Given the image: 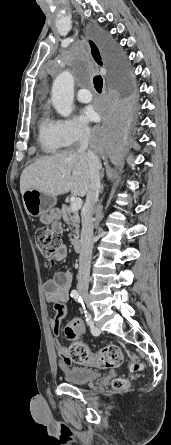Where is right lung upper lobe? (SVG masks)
<instances>
[{"instance_id": "cb5924a9", "label": "right lung upper lobe", "mask_w": 171, "mask_h": 445, "mask_svg": "<svg viewBox=\"0 0 171 445\" xmlns=\"http://www.w3.org/2000/svg\"><path fill=\"white\" fill-rule=\"evenodd\" d=\"M90 46H91V53H92V55H93L95 61H96L98 64L102 65V60H101V59H102V57H103V58L107 61L108 65H109V67H110V69H111L112 76H113V78L115 79V72H114V70L112 69L111 65L109 64V62H108V60H107V58H106V56H105V53H104L103 49H102V48H99V49H98V47H97L92 41H90Z\"/></svg>"}]
</instances>
